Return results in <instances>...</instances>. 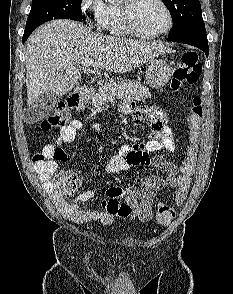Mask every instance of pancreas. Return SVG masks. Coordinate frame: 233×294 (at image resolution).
Wrapping results in <instances>:
<instances>
[{"label":"pancreas","instance_id":"pancreas-1","mask_svg":"<svg viewBox=\"0 0 233 294\" xmlns=\"http://www.w3.org/2000/svg\"><path fill=\"white\" fill-rule=\"evenodd\" d=\"M149 89L141 84L138 80L125 82L121 79L111 81L101 86L96 93L91 96L93 107H99L102 104L113 102L115 99H130L142 101L150 98ZM86 101L80 104V108L84 109Z\"/></svg>","mask_w":233,"mask_h":294}]
</instances>
